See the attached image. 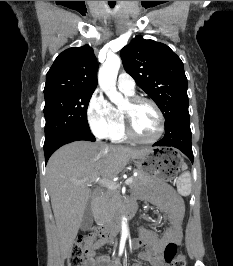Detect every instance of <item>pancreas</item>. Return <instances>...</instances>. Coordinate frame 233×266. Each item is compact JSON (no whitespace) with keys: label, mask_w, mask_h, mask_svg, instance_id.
Instances as JSON below:
<instances>
[{"label":"pancreas","mask_w":233,"mask_h":266,"mask_svg":"<svg viewBox=\"0 0 233 266\" xmlns=\"http://www.w3.org/2000/svg\"><path fill=\"white\" fill-rule=\"evenodd\" d=\"M150 182V176L139 171L138 176L133 177V182L130 184V188L135 189ZM119 198L118 190L108 189L98 201L96 206L97 215L105 219L112 217L117 211Z\"/></svg>","instance_id":"cf45deb5"}]
</instances>
